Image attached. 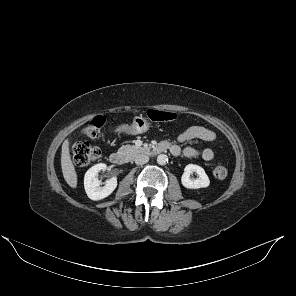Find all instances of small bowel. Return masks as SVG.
<instances>
[{"instance_id": "obj_1", "label": "small bowel", "mask_w": 296, "mask_h": 296, "mask_svg": "<svg viewBox=\"0 0 296 296\" xmlns=\"http://www.w3.org/2000/svg\"><path fill=\"white\" fill-rule=\"evenodd\" d=\"M192 140H202L206 142H212L216 140V135L210 129L203 126H192L183 131L179 137V143H187ZM162 145H166L168 150L175 155H183L188 158L199 157L205 161H212L215 158V153L213 150L209 148H205L202 150H198L191 146L182 147L179 144H173L168 140H164L161 142Z\"/></svg>"}]
</instances>
